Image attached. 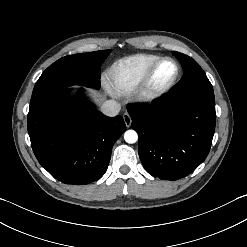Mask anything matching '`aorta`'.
<instances>
[{
  "label": "aorta",
  "mask_w": 247,
  "mask_h": 247,
  "mask_svg": "<svg viewBox=\"0 0 247 247\" xmlns=\"http://www.w3.org/2000/svg\"><path fill=\"white\" fill-rule=\"evenodd\" d=\"M124 140L129 144L135 143L138 140V135H137L136 131L127 130L124 133Z\"/></svg>",
  "instance_id": "aorta-1"
}]
</instances>
